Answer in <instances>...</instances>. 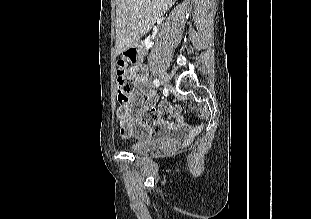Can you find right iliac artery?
I'll return each mask as SVG.
<instances>
[{"label": "right iliac artery", "instance_id": "right-iliac-artery-1", "mask_svg": "<svg viewBox=\"0 0 311 219\" xmlns=\"http://www.w3.org/2000/svg\"><path fill=\"white\" fill-rule=\"evenodd\" d=\"M154 85H155L156 87H159L160 81H159L158 79H155V80H154Z\"/></svg>", "mask_w": 311, "mask_h": 219}]
</instances>
